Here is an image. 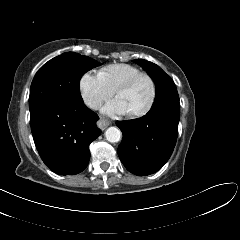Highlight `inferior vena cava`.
I'll use <instances>...</instances> for the list:
<instances>
[{
    "label": "inferior vena cava",
    "mask_w": 240,
    "mask_h": 240,
    "mask_svg": "<svg viewBox=\"0 0 240 240\" xmlns=\"http://www.w3.org/2000/svg\"><path fill=\"white\" fill-rule=\"evenodd\" d=\"M86 105L96 110L101 106V101L98 99H88Z\"/></svg>",
    "instance_id": "1"
}]
</instances>
